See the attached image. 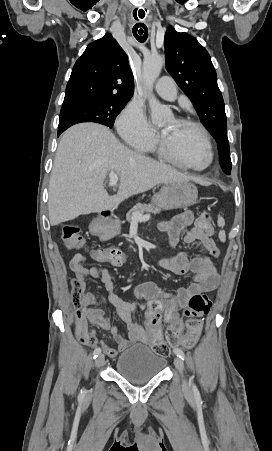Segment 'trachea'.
Returning a JSON list of instances; mask_svg holds the SVG:
<instances>
[{
  "instance_id": "trachea-1",
  "label": "trachea",
  "mask_w": 272,
  "mask_h": 451,
  "mask_svg": "<svg viewBox=\"0 0 272 451\" xmlns=\"http://www.w3.org/2000/svg\"><path fill=\"white\" fill-rule=\"evenodd\" d=\"M138 28L144 29V32L137 33ZM133 35L139 42H145L148 38V30L147 27L144 24H136L133 28Z\"/></svg>"
}]
</instances>
